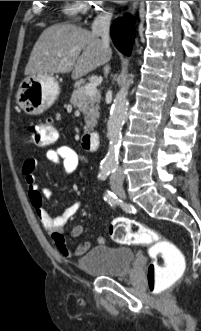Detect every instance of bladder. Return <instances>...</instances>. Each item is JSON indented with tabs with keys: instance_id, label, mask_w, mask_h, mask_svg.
Segmentation results:
<instances>
[{
	"instance_id": "31cf9c89",
	"label": "bladder",
	"mask_w": 201,
	"mask_h": 331,
	"mask_svg": "<svg viewBox=\"0 0 201 331\" xmlns=\"http://www.w3.org/2000/svg\"><path fill=\"white\" fill-rule=\"evenodd\" d=\"M135 254L133 250L100 244L78 259L82 272L96 278H120L128 274Z\"/></svg>"
}]
</instances>
